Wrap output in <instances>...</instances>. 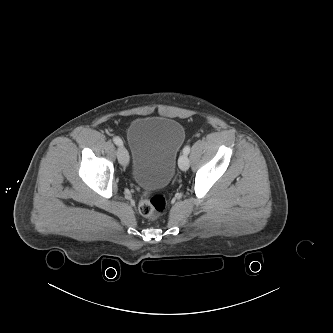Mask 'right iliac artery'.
Returning <instances> with one entry per match:
<instances>
[{
	"mask_svg": "<svg viewBox=\"0 0 333 333\" xmlns=\"http://www.w3.org/2000/svg\"><path fill=\"white\" fill-rule=\"evenodd\" d=\"M113 142L118 145V146H122L123 145V141L119 138V137H114L113 138Z\"/></svg>",
	"mask_w": 333,
	"mask_h": 333,
	"instance_id": "1",
	"label": "right iliac artery"
}]
</instances>
